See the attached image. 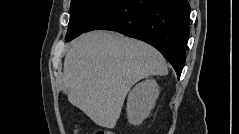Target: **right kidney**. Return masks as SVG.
I'll return each mask as SVG.
<instances>
[{
  "label": "right kidney",
  "instance_id": "obj_1",
  "mask_svg": "<svg viewBox=\"0 0 239 134\" xmlns=\"http://www.w3.org/2000/svg\"><path fill=\"white\" fill-rule=\"evenodd\" d=\"M159 95V86L153 79L138 83L127 99V118L130 124L139 125L148 117Z\"/></svg>",
  "mask_w": 239,
  "mask_h": 134
}]
</instances>
